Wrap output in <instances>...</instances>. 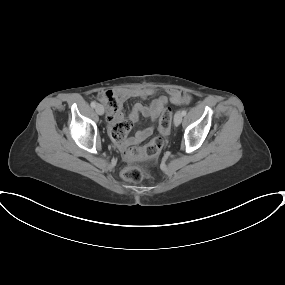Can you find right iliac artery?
Listing matches in <instances>:
<instances>
[{"mask_svg":"<svg viewBox=\"0 0 285 285\" xmlns=\"http://www.w3.org/2000/svg\"><path fill=\"white\" fill-rule=\"evenodd\" d=\"M91 107L95 108L96 107V102H91Z\"/></svg>","mask_w":285,"mask_h":285,"instance_id":"1","label":"right iliac artery"}]
</instances>
